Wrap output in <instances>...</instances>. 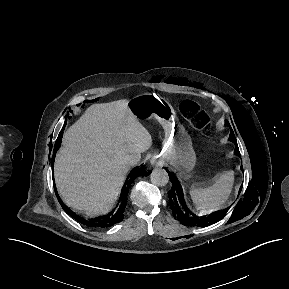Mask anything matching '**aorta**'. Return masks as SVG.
<instances>
[{
    "label": "aorta",
    "instance_id": "obj_1",
    "mask_svg": "<svg viewBox=\"0 0 289 289\" xmlns=\"http://www.w3.org/2000/svg\"><path fill=\"white\" fill-rule=\"evenodd\" d=\"M151 183L156 186H165L169 182V175L165 169L156 168L150 174Z\"/></svg>",
    "mask_w": 289,
    "mask_h": 289
}]
</instances>
